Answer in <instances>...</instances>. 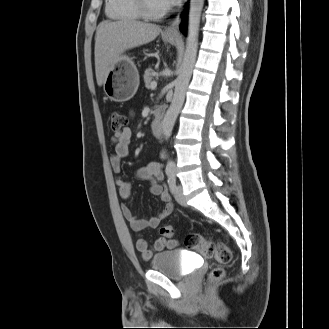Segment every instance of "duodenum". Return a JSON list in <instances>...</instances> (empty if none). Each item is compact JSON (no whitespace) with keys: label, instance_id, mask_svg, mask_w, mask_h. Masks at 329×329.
Here are the masks:
<instances>
[{"label":"duodenum","instance_id":"410a0bca","mask_svg":"<svg viewBox=\"0 0 329 329\" xmlns=\"http://www.w3.org/2000/svg\"><path fill=\"white\" fill-rule=\"evenodd\" d=\"M164 109L157 108L151 122V130L155 136H161L163 132Z\"/></svg>","mask_w":329,"mask_h":329}]
</instances>
